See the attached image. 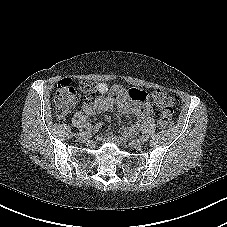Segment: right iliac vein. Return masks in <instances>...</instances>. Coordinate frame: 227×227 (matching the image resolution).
<instances>
[{"label":"right iliac vein","instance_id":"1","mask_svg":"<svg viewBox=\"0 0 227 227\" xmlns=\"http://www.w3.org/2000/svg\"><path fill=\"white\" fill-rule=\"evenodd\" d=\"M91 136V131L89 130H86V131H83V132H80L77 134V138L79 140H84V139H87Z\"/></svg>","mask_w":227,"mask_h":227}]
</instances>
